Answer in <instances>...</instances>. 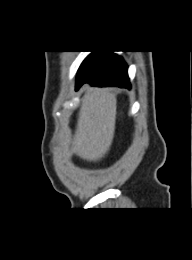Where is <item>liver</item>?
Segmentation results:
<instances>
[{"label":"liver","instance_id":"obj_1","mask_svg":"<svg viewBox=\"0 0 192 260\" xmlns=\"http://www.w3.org/2000/svg\"><path fill=\"white\" fill-rule=\"evenodd\" d=\"M116 121V97L108 89L89 88L80 106L71 142L73 152L87 161H98L109 151Z\"/></svg>","mask_w":192,"mask_h":260}]
</instances>
